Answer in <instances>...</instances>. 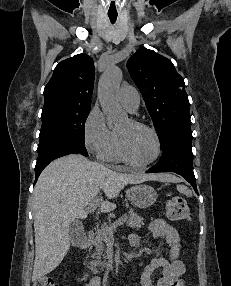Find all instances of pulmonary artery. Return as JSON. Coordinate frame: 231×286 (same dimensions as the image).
Returning <instances> with one entry per match:
<instances>
[{
  "label": "pulmonary artery",
  "mask_w": 231,
  "mask_h": 286,
  "mask_svg": "<svg viewBox=\"0 0 231 286\" xmlns=\"http://www.w3.org/2000/svg\"><path fill=\"white\" fill-rule=\"evenodd\" d=\"M119 101L128 111L135 112L140 104V96L132 86H123L119 91Z\"/></svg>",
  "instance_id": "pulmonary-artery-1"
}]
</instances>
